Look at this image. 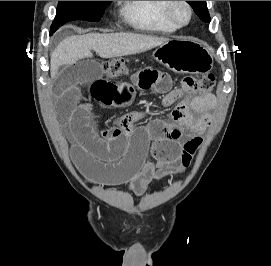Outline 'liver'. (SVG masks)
I'll list each match as a JSON object with an SVG mask.
<instances>
[{
	"label": "liver",
	"instance_id": "obj_1",
	"mask_svg": "<svg viewBox=\"0 0 271 266\" xmlns=\"http://www.w3.org/2000/svg\"><path fill=\"white\" fill-rule=\"evenodd\" d=\"M167 41L169 39L163 37L133 33H91L71 36L60 42L51 54V78L57 77L61 62L73 65L78 60L92 57L91 50L101 58H113L145 52Z\"/></svg>",
	"mask_w": 271,
	"mask_h": 266
}]
</instances>
